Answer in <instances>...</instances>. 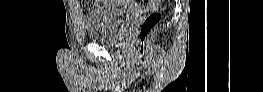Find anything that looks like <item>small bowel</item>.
<instances>
[{
    "mask_svg": "<svg viewBox=\"0 0 263 92\" xmlns=\"http://www.w3.org/2000/svg\"><path fill=\"white\" fill-rule=\"evenodd\" d=\"M152 2H154V3H158L159 1H152ZM128 4H133L134 6H135V8H138V9H140V10H143L142 8H140L139 6H137V4H135V3H128ZM74 7H75V9L77 10L78 9V4L75 2L74 3Z\"/></svg>",
    "mask_w": 263,
    "mask_h": 92,
    "instance_id": "obj_1",
    "label": "small bowel"
}]
</instances>
